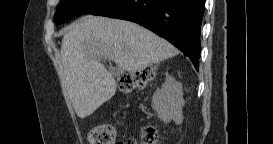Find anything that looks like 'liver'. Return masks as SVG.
Listing matches in <instances>:
<instances>
[{
    "instance_id": "1",
    "label": "liver",
    "mask_w": 273,
    "mask_h": 144,
    "mask_svg": "<svg viewBox=\"0 0 273 144\" xmlns=\"http://www.w3.org/2000/svg\"><path fill=\"white\" fill-rule=\"evenodd\" d=\"M177 54L171 43L136 23L82 17L64 34L61 46L64 83L77 116L91 115L116 92L102 59L113 61L118 70L136 72Z\"/></svg>"
}]
</instances>
